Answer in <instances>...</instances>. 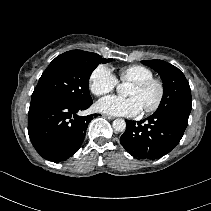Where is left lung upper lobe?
<instances>
[{"label":"left lung upper lobe","instance_id":"obj_1","mask_svg":"<svg viewBox=\"0 0 211 211\" xmlns=\"http://www.w3.org/2000/svg\"><path fill=\"white\" fill-rule=\"evenodd\" d=\"M142 63L157 71L163 81V97L156 112L173 110L189 116L192 108L191 90L184 74L162 60H145Z\"/></svg>","mask_w":211,"mask_h":211}]
</instances>
